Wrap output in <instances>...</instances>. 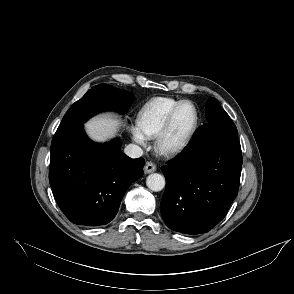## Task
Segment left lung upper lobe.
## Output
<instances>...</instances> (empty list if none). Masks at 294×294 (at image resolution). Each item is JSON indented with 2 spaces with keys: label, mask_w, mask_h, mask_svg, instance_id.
<instances>
[{
  "label": "left lung upper lobe",
  "mask_w": 294,
  "mask_h": 294,
  "mask_svg": "<svg viewBox=\"0 0 294 294\" xmlns=\"http://www.w3.org/2000/svg\"><path fill=\"white\" fill-rule=\"evenodd\" d=\"M205 111L208 123L233 122L215 98L207 101Z\"/></svg>",
  "instance_id": "5c2ea615"
}]
</instances>
